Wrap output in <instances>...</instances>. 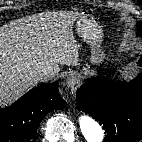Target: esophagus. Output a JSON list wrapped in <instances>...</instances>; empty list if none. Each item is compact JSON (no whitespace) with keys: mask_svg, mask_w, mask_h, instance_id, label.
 Segmentation results:
<instances>
[{"mask_svg":"<svg viewBox=\"0 0 142 142\" xmlns=\"http://www.w3.org/2000/svg\"><path fill=\"white\" fill-rule=\"evenodd\" d=\"M66 83L67 86L70 88H75L77 87V85L80 83V77L78 74L76 73H70L67 77H66Z\"/></svg>","mask_w":142,"mask_h":142,"instance_id":"esophagus-1","label":"esophagus"}]
</instances>
